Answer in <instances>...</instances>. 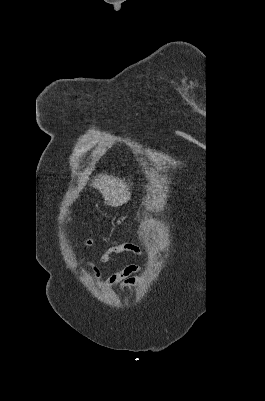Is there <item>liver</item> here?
<instances>
[{"label": "liver", "instance_id": "1", "mask_svg": "<svg viewBox=\"0 0 265 401\" xmlns=\"http://www.w3.org/2000/svg\"><path fill=\"white\" fill-rule=\"evenodd\" d=\"M94 188H98L104 196L105 205L110 207H120L130 201L129 188L127 182H123L117 176H108V174H100V178H95L93 182Z\"/></svg>", "mask_w": 265, "mask_h": 401}]
</instances>
